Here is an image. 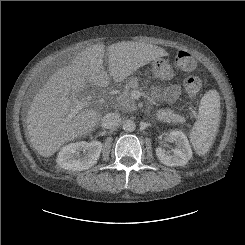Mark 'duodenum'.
Listing matches in <instances>:
<instances>
[{
	"label": "duodenum",
	"mask_w": 245,
	"mask_h": 245,
	"mask_svg": "<svg viewBox=\"0 0 245 245\" xmlns=\"http://www.w3.org/2000/svg\"><path fill=\"white\" fill-rule=\"evenodd\" d=\"M106 109L109 110V111H111L113 109V107H112L111 104H107Z\"/></svg>",
	"instance_id": "duodenum-1"
}]
</instances>
